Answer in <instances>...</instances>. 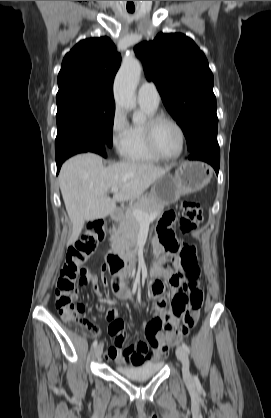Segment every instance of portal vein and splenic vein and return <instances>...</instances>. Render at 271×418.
I'll return each instance as SVG.
<instances>
[{"instance_id": "obj_1", "label": "portal vein and splenic vein", "mask_w": 271, "mask_h": 418, "mask_svg": "<svg viewBox=\"0 0 271 418\" xmlns=\"http://www.w3.org/2000/svg\"><path fill=\"white\" fill-rule=\"evenodd\" d=\"M119 191V187H112L111 188V192L112 193H116ZM133 215L135 216V218L140 222V223H150L151 221H153L156 216L154 214L152 215H148L145 212H143L142 210L139 209H133L132 210Z\"/></svg>"}]
</instances>
